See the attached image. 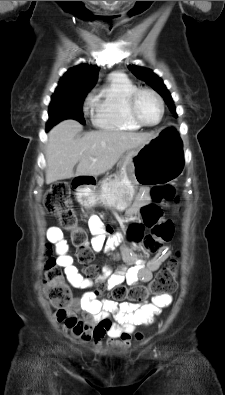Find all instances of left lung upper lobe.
<instances>
[{
    "instance_id": "obj_1",
    "label": "left lung upper lobe",
    "mask_w": 225,
    "mask_h": 395,
    "mask_svg": "<svg viewBox=\"0 0 225 395\" xmlns=\"http://www.w3.org/2000/svg\"><path fill=\"white\" fill-rule=\"evenodd\" d=\"M128 68L131 72L138 77L139 79L145 81L149 84L155 91H157L164 99L166 104L168 105L171 112L177 116L176 109L173 104L172 97L168 92L166 86L164 85L161 78H159L156 74H154L151 70L147 68H143L136 65H129Z\"/></svg>"
}]
</instances>
